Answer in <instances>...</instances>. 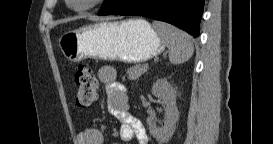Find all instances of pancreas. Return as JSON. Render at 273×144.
Returning <instances> with one entry per match:
<instances>
[{
	"mask_svg": "<svg viewBox=\"0 0 273 144\" xmlns=\"http://www.w3.org/2000/svg\"><path fill=\"white\" fill-rule=\"evenodd\" d=\"M146 68H144V65H135L130 67L127 70V74H128V78L130 80H137L142 74H144L146 72Z\"/></svg>",
	"mask_w": 273,
	"mask_h": 144,
	"instance_id": "cf45deb5",
	"label": "pancreas"
}]
</instances>
